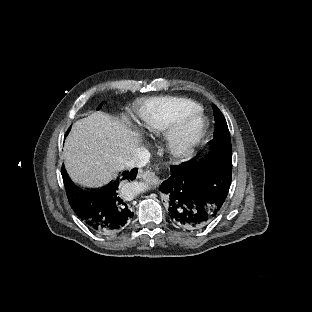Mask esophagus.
Listing matches in <instances>:
<instances>
[{"mask_svg": "<svg viewBox=\"0 0 312 312\" xmlns=\"http://www.w3.org/2000/svg\"><path fill=\"white\" fill-rule=\"evenodd\" d=\"M137 177L152 185H157L160 182L158 176L154 172L149 170L140 169L138 171Z\"/></svg>", "mask_w": 312, "mask_h": 312, "instance_id": "1", "label": "esophagus"}]
</instances>
